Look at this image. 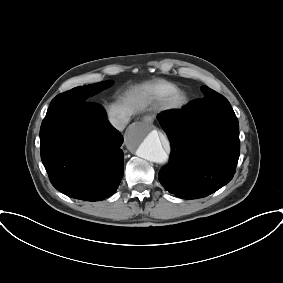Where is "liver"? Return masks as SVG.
Returning <instances> with one entry per match:
<instances>
[{
  "instance_id": "liver-1",
  "label": "liver",
  "mask_w": 283,
  "mask_h": 283,
  "mask_svg": "<svg viewBox=\"0 0 283 283\" xmlns=\"http://www.w3.org/2000/svg\"><path fill=\"white\" fill-rule=\"evenodd\" d=\"M142 107L141 101L135 98L127 99L124 103L113 104L109 107V118L134 114Z\"/></svg>"
}]
</instances>
